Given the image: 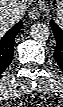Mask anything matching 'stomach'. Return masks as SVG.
Returning a JSON list of instances; mask_svg holds the SVG:
<instances>
[{
    "label": "stomach",
    "instance_id": "stomach-1",
    "mask_svg": "<svg viewBox=\"0 0 63 107\" xmlns=\"http://www.w3.org/2000/svg\"><path fill=\"white\" fill-rule=\"evenodd\" d=\"M57 16H58V20L62 23L63 22V5L61 3L58 8Z\"/></svg>",
    "mask_w": 63,
    "mask_h": 107
}]
</instances>
